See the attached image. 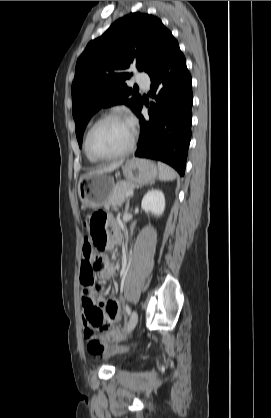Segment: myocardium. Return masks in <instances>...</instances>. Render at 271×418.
Masks as SVG:
<instances>
[{
    "label": "myocardium",
    "instance_id": "1",
    "mask_svg": "<svg viewBox=\"0 0 271 418\" xmlns=\"http://www.w3.org/2000/svg\"><path fill=\"white\" fill-rule=\"evenodd\" d=\"M109 119H124L127 120L126 117L122 114V113H118V112H109L106 113L104 115H102L100 118H98L89 128L86 137H85V149L87 151V153L94 159H96L97 161H103V160H112V159H116V158H120L123 157L125 155H127L134 147L135 144V140H136V130L134 127H132V134L130 137V140L127 144V146L114 154H109V155H99L96 154L95 152H93V150L91 149L90 146V137L92 132L94 131V129L101 124L102 122L109 120Z\"/></svg>",
    "mask_w": 271,
    "mask_h": 418
}]
</instances>
